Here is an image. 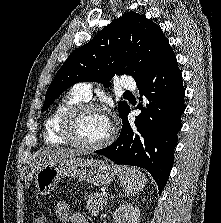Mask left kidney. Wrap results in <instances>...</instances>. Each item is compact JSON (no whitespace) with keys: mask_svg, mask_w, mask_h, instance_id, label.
Segmentation results:
<instances>
[{"mask_svg":"<svg viewBox=\"0 0 221 223\" xmlns=\"http://www.w3.org/2000/svg\"><path fill=\"white\" fill-rule=\"evenodd\" d=\"M113 218L115 223H139L140 211L136 206L125 203L116 209Z\"/></svg>","mask_w":221,"mask_h":223,"instance_id":"left-kidney-1","label":"left kidney"}]
</instances>
